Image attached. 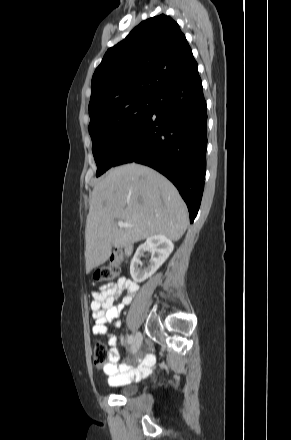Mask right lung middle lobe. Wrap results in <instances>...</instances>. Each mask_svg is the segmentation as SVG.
<instances>
[{"label":"right lung middle lobe","mask_w":291,"mask_h":440,"mask_svg":"<svg viewBox=\"0 0 291 440\" xmlns=\"http://www.w3.org/2000/svg\"><path fill=\"white\" fill-rule=\"evenodd\" d=\"M154 96H136L101 104L89 111V133L96 176L110 167L153 107Z\"/></svg>","instance_id":"right-lung-middle-lobe-1"}]
</instances>
